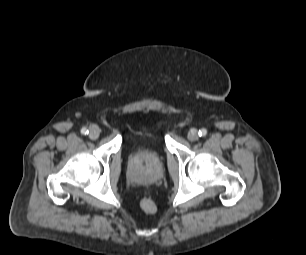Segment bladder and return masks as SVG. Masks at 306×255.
Wrapping results in <instances>:
<instances>
[{"mask_svg":"<svg viewBox=\"0 0 306 255\" xmlns=\"http://www.w3.org/2000/svg\"><path fill=\"white\" fill-rule=\"evenodd\" d=\"M140 138H147L153 144V153L158 154L163 148L161 130L158 125H142L139 130L131 134L128 138V146L133 154H141L143 148L137 147V141Z\"/></svg>","mask_w":306,"mask_h":255,"instance_id":"bladder-1","label":"bladder"}]
</instances>
